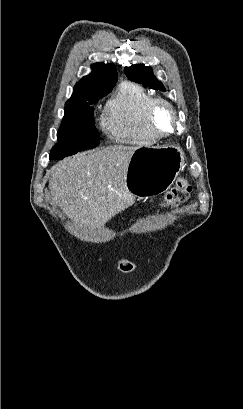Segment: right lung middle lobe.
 Masks as SVG:
<instances>
[{
  "label": "right lung middle lobe",
  "mask_w": 243,
  "mask_h": 409,
  "mask_svg": "<svg viewBox=\"0 0 243 409\" xmlns=\"http://www.w3.org/2000/svg\"><path fill=\"white\" fill-rule=\"evenodd\" d=\"M57 137L58 143L52 148L50 159H63L78 151L98 146L99 134L95 127L94 108L91 106L65 107V114Z\"/></svg>",
  "instance_id": "obj_1"
}]
</instances>
